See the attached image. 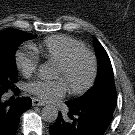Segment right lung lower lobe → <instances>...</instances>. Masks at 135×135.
<instances>
[{"label":"right lung lower lobe","instance_id":"1","mask_svg":"<svg viewBox=\"0 0 135 135\" xmlns=\"http://www.w3.org/2000/svg\"><path fill=\"white\" fill-rule=\"evenodd\" d=\"M15 94H19V89L13 90ZM5 95L0 94V135H15L20 115L32 106L29 97L17 98L14 102L11 98L4 101Z\"/></svg>","mask_w":135,"mask_h":135}]
</instances>
